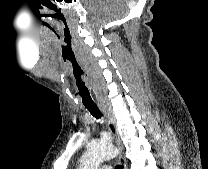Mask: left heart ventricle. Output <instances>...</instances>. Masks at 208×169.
<instances>
[{
  "mask_svg": "<svg viewBox=\"0 0 208 169\" xmlns=\"http://www.w3.org/2000/svg\"><path fill=\"white\" fill-rule=\"evenodd\" d=\"M95 169H100V167H96Z\"/></svg>",
  "mask_w": 208,
  "mask_h": 169,
  "instance_id": "left-heart-ventricle-1",
  "label": "left heart ventricle"
}]
</instances>
